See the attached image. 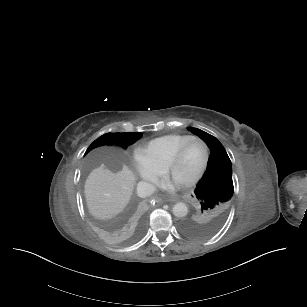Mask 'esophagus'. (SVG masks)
I'll return each instance as SVG.
<instances>
[{"label":"esophagus","mask_w":307,"mask_h":307,"mask_svg":"<svg viewBox=\"0 0 307 307\" xmlns=\"http://www.w3.org/2000/svg\"><path fill=\"white\" fill-rule=\"evenodd\" d=\"M155 201H156V205H162L164 203V199L160 197H156Z\"/></svg>","instance_id":"1"}]
</instances>
